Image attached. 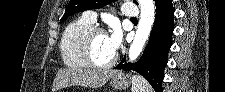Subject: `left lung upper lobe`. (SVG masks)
<instances>
[{
	"mask_svg": "<svg viewBox=\"0 0 225 92\" xmlns=\"http://www.w3.org/2000/svg\"><path fill=\"white\" fill-rule=\"evenodd\" d=\"M114 1L115 0H70L60 23L64 22L70 15L76 12L85 11L87 9H98ZM156 1L157 0H155V2ZM134 3L138 4L135 0Z\"/></svg>",
	"mask_w": 225,
	"mask_h": 92,
	"instance_id": "5c2ea615",
	"label": "left lung upper lobe"
}]
</instances>
